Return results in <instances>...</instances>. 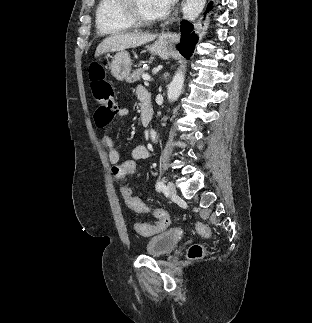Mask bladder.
Listing matches in <instances>:
<instances>
[{"mask_svg":"<svg viewBox=\"0 0 312 323\" xmlns=\"http://www.w3.org/2000/svg\"><path fill=\"white\" fill-rule=\"evenodd\" d=\"M179 240L180 236L177 229L153 235V237L146 242L145 250L149 256L163 257L174 250V247Z\"/></svg>","mask_w":312,"mask_h":323,"instance_id":"1","label":"bladder"}]
</instances>
